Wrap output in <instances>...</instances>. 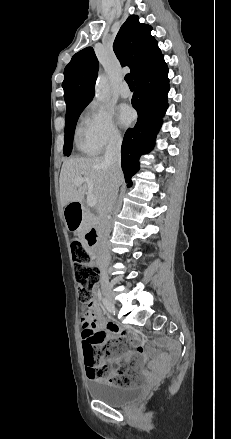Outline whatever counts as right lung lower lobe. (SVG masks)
<instances>
[{
	"instance_id": "obj_1",
	"label": "right lung lower lobe",
	"mask_w": 231,
	"mask_h": 439,
	"mask_svg": "<svg viewBox=\"0 0 231 439\" xmlns=\"http://www.w3.org/2000/svg\"><path fill=\"white\" fill-rule=\"evenodd\" d=\"M136 85L132 105L138 120L124 136L121 163L125 181L130 187L131 177L139 170V157L153 148L155 137L161 127L168 104V68L162 56L152 67L134 78Z\"/></svg>"
}]
</instances>
